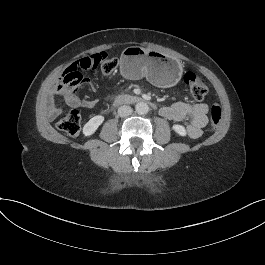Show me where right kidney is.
Wrapping results in <instances>:
<instances>
[{
	"instance_id": "right-kidney-1",
	"label": "right kidney",
	"mask_w": 265,
	"mask_h": 265,
	"mask_svg": "<svg viewBox=\"0 0 265 265\" xmlns=\"http://www.w3.org/2000/svg\"><path fill=\"white\" fill-rule=\"evenodd\" d=\"M105 121V117L103 115H96L93 116L84 126L82 129V135L84 137H90L96 133L98 128L103 124Z\"/></svg>"
}]
</instances>
